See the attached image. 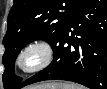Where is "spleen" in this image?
Wrapping results in <instances>:
<instances>
[{
    "label": "spleen",
    "mask_w": 107,
    "mask_h": 89,
    "mask_svg": "<svg viewBox=\"0 0 107 89\" xmlns=\"http://www.w3.org/2000/svg\"><path fill=\"white\" fill-rule=\"evenodd\" d=\"M61 89H82V87L79 85L65 83L62 85Z\"/></svg>",
    "instance_id": "1"
}]
</instances>
